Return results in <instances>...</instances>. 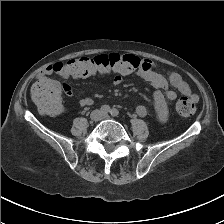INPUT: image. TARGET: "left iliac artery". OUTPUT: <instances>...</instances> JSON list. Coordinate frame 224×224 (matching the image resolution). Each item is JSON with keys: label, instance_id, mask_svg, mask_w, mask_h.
<instances>
[{"label": "left iliac artery", "instance_id": "obj_1", "mask_svg": "<svg viewBox=\"0 0 224 224\" xmlns=\"http://www.w3.org/2000/svg\"><path fill=\"white\" fill-rule=\"evenodd\" d=\"M110 114L113 117H117L119 115V111L117 109L113 108V109H111Z\"/></svg>", "mask_w": 224, "mask_h": 224}]
</instances>
